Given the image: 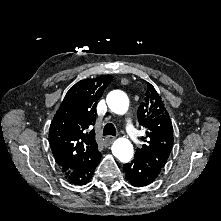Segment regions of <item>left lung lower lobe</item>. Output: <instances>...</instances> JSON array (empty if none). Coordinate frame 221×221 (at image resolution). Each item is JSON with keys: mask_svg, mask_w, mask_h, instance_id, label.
I'll list each match as a JSON object with an SVG mask.
<instances>
[{"mask_svg": "<svg viewBox=\"0 0 221 221\" xmlns=\"http://www.w3.org/2000/svg\"><path fill=\"white\" fill-rule=\"evenodd\" d=\"M124 172L127 180L136 187L147 186L153 183L160 172L152 169L146 162L140 161L136 157L127 164H124Z\"/></svg>", "mask_w": 221, "mask_h": 221, "instance_id": "0a47b994", "label": "left lung lower lobe"}]
</instances>
